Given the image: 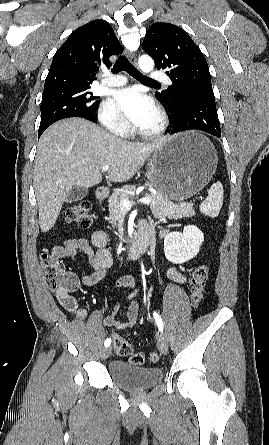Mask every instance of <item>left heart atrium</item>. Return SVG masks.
<instances>
[{
    "label": "left heart atrium",
    "mask_w": 269,
    "mask_h": 445,
    "mask_svg": "<svg viewBox=\"0 0 269 445\" xmlns=\"http://www.w3.org/2000/svg\"><path fill=\"white\" fill-rule=\"evenodd\" d=\"M114 98L127 119L137 128H141L157 114L154 101L136 87L118 90Z\"/></svg>",
    "instance_id": "left-heart-atrium-1"
}]
</instances>
